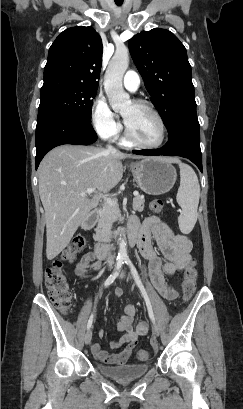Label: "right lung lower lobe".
I'll use <instances>...</instances> for the list:
<instances>
[{
    "label": "right lung lower lobe",
    "mask_w": 243,
    "mask_h": 409,
    "mask_svg": "<svg viewBox=\"0 0 243 409\" xmlns=\"http://www.w3.org/2000/svg\"><path fill=\"white\" fill-rule=\"evenodd\" d=\"M97 140L91 124L61 118H47L36 126V169L44 155L63 144L89 145Z\"/></svg>",
    "instance_id": "obj_1"
}]
</instances>
